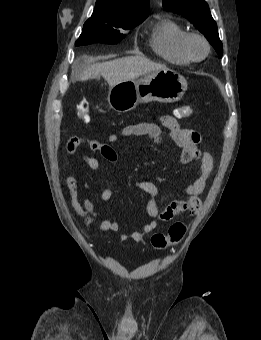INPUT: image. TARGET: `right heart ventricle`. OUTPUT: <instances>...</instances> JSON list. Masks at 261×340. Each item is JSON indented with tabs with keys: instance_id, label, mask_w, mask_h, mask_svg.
<instances>
[{
	"instance_id": "obj_1",
	"label": "right heart ventricle",
	"mask_w": 261,
	"mask_h": 340,
	"mask_svg": "<svg viewBox=\"0 0 261 340\" xmlns=\"http://www.w3.org/2000/svg\"><path fill=\"white\" fill-rule=\"evenodd\" d=\"M186 29L170 17L160 19L152 29L149 45L152 51L165 61L175 65H189L192 60L182 48Z\"/></svg>"
}]
</instances>
